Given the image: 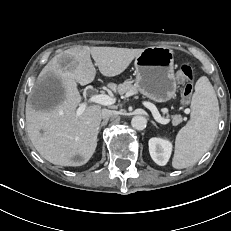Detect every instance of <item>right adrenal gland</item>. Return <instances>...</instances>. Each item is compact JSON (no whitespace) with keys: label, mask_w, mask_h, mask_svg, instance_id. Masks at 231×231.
Masks as SVG:
<instances>
[{"label":"right adrenal gland","mask_w":231,"mask_h":231,"mask_svg":"<svg viewBox=\"0 0 231 231\" xmlns=\"http://www.w3.org/2000/svg\"><path fill=\"white\" fill-rule=\"evenodd\" d=\"M107 123H108V119L104 120V121L101 123L100 128L103 127V126H105Z\"/></svg>","instance_id":"1"}]
</instances>
